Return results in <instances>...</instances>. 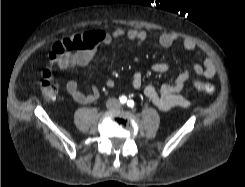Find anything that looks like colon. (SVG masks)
Segmentation results:
<instances>
[{
	"label": "colon",
	"instance_id": "colon-1",
	"mask_svg": "<svg viewBox=\"0 0 245 187\" xmlns=\"http://www.w3.org/2000/svg\"><path fill=\"white\" fill-rule=\"evenodd\" d=\"M89 48L86 34H74L56 42L51 51L50 66L42 71L41 92L47 102L54 101L59 94V87L54 77L56 60L63 58L72 52L83 51ZM191 86L204 94L216 93V86L212 83L199 80L192 81Z\"/></svg>",
	"mask_w": 245,
	"mask_h": 187
}]
</instances>
